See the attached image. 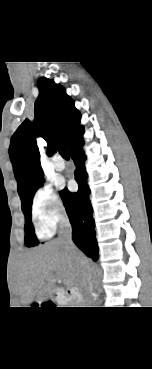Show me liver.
I'll use <instances>...</instances> for the list:
<instances>
[{
  "label": "liver",
  "mask_w": 152,
  "mask_h": 369,
  "mask_svg": "<svg viewBox=\"0 0 152 369\" xmlns=\"http://www.w3.org/2000/svg\"><path fill=\"white\" fill-rule=\"evenodd\" d=\"M76 255L90 266L81 252L77 250ZM58 280L67 286H80V265L60 241L54 240L23 257L18 275L21 304L47 300L53 295Z\"/></svg>",
  "instance_id": "liver-1"
}]
</instances>
